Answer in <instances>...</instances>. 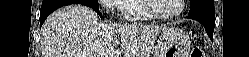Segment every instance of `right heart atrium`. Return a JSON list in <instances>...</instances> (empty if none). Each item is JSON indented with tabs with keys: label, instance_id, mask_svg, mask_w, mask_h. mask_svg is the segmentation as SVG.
I'll return each mask as SVG.
<instances>
[{
	"label": "right heart atrium",
	"instance_id": "right-heart-atrium-1",
	"mask_svg": "<svg viewBox=\"0 0 249 57\" xmlns=\"http://www.w3.org/2000/svg\"><path fill=\"white\" fill-rule=\"evenodd\" d=\"M124 0H103L101 3L103 5H106L108 8L113 9L114 11H122V3Z\"/></svg>",
	"mask_w": 249,
	"mask_h": 57
}]
</instances>
